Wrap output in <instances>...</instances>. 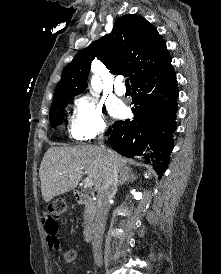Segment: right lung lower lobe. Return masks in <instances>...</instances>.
<instances>
[{
  "instance_id": "98d812e1",
  "label": "right lung lower lobe",
  "mask_w": 221,
  "mask_h": 274,
  "mask_svg": "<svg viewBox=\"0 0 221 274\" xmlns=\"http://www.w3.org/2000/svg\"><path fill=\"white\" fill-rule=\"evenodd\" d=\"M133 119L109 127L111 147L123 156L151 163L161 177L166 171L176 130L178 88L171 58L132 83ZM152 154H143V150Z\"/></svg>"
}]
</instances>
